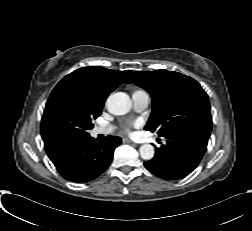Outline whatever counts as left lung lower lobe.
I'll use <instances>...</instances> for the list:
<instances>
[{"label": "left lung lower lobe", "mask_w": 252, "mask_h": 231, "mask_svg": "<svg viewBox=\"0 0 252 231\" xmlns=\"http://www.w3.org/2000/svg\"><path fill=\"white\" fill-rule=\"evenodd\" d=\"M211 130L190 126L165 135L167 144L156 151L152 160L144 163L153 174L167 180L181 179L190 174L206 151Z\"/></svg>", "instance_id": "0a47b994"}]
</instances>
